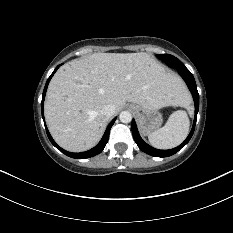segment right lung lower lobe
<instances>
[{
	"mask_svg": "<svg viewBox=\"0 0 233 233\" xmlns=\"http://www.w3.org/2000/svg\"><path fill=\"white\" fill-rule=\"evenodd\" d=\"M60 67V65H58L56 67V69L54 70V72L51 74V76L48 78L47 82H46V85H45V88H44V91H43V97H42V102H41V110H42V117L44 119V115H43V102H44V99H45V94H46V91H47V87H48V84H49V81L51 80L53 74L57 71V69ZM116 118H114L111 123L109 124V126L107 127L102 139L100 140V142L92 149L88 150V151H85V152H81V153H71V152H68V151H65L64 149L60 148L56 143L55 141L53 140V138L51 137L46 125H45V128H46V132H47V135H48V138L49 140L51 141V143L57 148L59 149L62 153H64L65 155L69 156V157H72V158H76V159H84V158H89V157H93L97 154H99L105 147L108 139H109V132H110V129L111 127L113 126L114 122H115ZM44 124H45V121H44Z\"/></svg>",
	"mask_w": 233,
	"mask_h": 233,
	"instance_id": "right-lung-lower-lobe-1",
	"label": "right lung lower lobe"
}]
</instances>
